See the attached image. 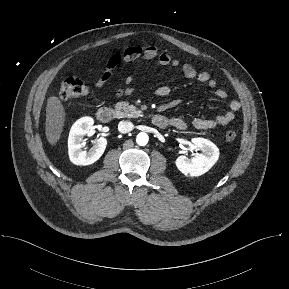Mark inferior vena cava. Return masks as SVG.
Returning <instances> with one entry per match:
<instances>
[{
  "label": "inferior vena cava",
  "instance_id": "602c4592",
  "mask_svg": "<svg viewBox=\"0 0 289 289\" xmlns=\"http://www.w3.org/2000/svg\"><path fill=\"white\" fill-rule=\"evenodd\" d=\"M134 129V125L129 121H120L118 124V130L120 133H128Z\"/></svg>",
  "mask_w": 289,
  "mask_h": 289
}]
</instances>
